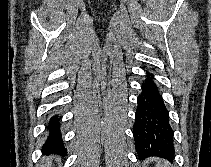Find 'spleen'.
Instances as JSON below:
<instances>
[{"mask_svg": "<svg viewBox=\"0 0 211 167\" xmlns=\"http://www.w3.org/2000/svg\"><path fill=\"white\" fill-rule=\"evenodd\" d=\"M156 167H170V166H169V163L168 162H165V161L159 159L157 161Z\"/></svg>", "mask_w": 211, "mask_h": 167, "instance_id": "spleen-1", "label": "spleen"}]
</instances>
